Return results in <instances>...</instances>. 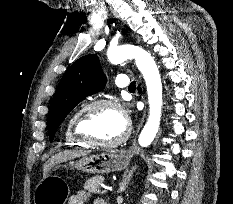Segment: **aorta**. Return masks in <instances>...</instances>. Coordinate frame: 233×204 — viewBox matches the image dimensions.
Returning <instances> with one entry per match:
<instances>
[{
	"mask_svg": "<svg viewBox=\"0 0 233 204\" xmlns=\"http://www.w3.org/2000/svg\"><path fill=\"white\" fill-rule=\"evenodd\" d=\"M107 56L112 64L135 59L136 66L145 79L149 101V117L139 135L138 143L141 147H147L154 140L161 119L162 82L158 67L147 51L135 45H121L109 49Z\"/></svg>",
	"mask_w": 233,
	"mask_h": 204,
	"instance_id": "762f6f07",
	"label": "aorta"
}]
</instances>
